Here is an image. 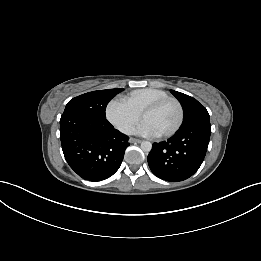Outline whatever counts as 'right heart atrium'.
I'll list each match as a JSON object with an SVG mask.
<instances>
[{
    "label": "right heart atrium",
    "instance_id": "1",
    "mask_svg": "<svg viewBox=\"0 0 261 261\" xmlns=\"http://www.w3.org/2000/svg\"><path fill=\"white\" fill-rule=\"evenodd\" d=\"M106 117L120 132L130 134L138 123L140 114L132 109L122 98H115L106 107Z\"/></svg>",
    "mask_w": 261,
    "mask_h": 261
}]
</instances>
